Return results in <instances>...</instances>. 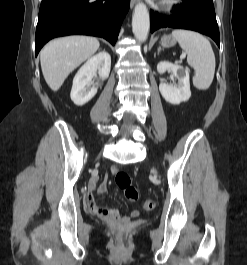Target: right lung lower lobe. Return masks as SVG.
Segmentation results:
<instances>
[{
    "label": "right lung lower lobe",
    "mask_w": 247,
    "mask_h": 265,
    "mask_svg": "<svg viewBox=\"0 0 247 265\" xmlns=\"http://www.w3.org/2000/svg\"><path fill=\"white\" fill-rule=\"evenodd\" d=\"M130 0H42L36 28V55L50 39L83 34L115 44Z\"/></svg>",
    "instance_id": "right-lung-lower-lobe-1"
}]
</instances>
